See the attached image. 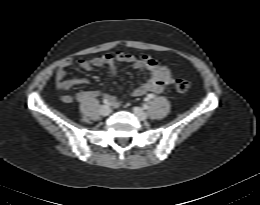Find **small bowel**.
Wrapping results in <instances>:
<instances>
[{"mask_svg": "<svg viewBox=\"0 0 260 205\" xmlns=\"http://www.w3.org/2000/svg\"><path fill=\"white\" fill-rule=\"evenodd\" d=\"M126 63L131 65L137 70L145 71L149 74L148 80L141 83L136 87L132 94L136 97L145 95L148 92L161 93L164 91L166 86L170 85L173 81L172 73L167 66L160 65L158 61L147 54L140 57L125 52L124 50H118L114 53H108L101 56L92 57L89 59H69L63 62L56 71L55 84L58 90L66 91L77 83H83V79L67 80L66 73L67 69L72 65H77L83 70H92L97 67L108 66L112 74H116L118 65ZM105 96L109 99L110 103L114 107L120 105L119 99L107 93H103L98 90L80 92L75 97L70 94H63L61 99L65 103H70L74 98L84 100L90 97Z\"/></svg>", "mask_w": 260, "mask_h": 205, "instance_id": "1", "label": "small bowel"}]
</instances>
